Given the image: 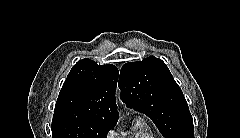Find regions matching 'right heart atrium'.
Returning a JSON list of instances; mask_svg holds the SVG:
<instances>
[{"label": "right heart atrium", "instance_id": "1", "mask_svg": "<svg viewBox=\"0 0 240 138\" xmlns=\"http://www.w3.org/2000/svg\"><path fill=\"white\" fill-rule=\"evenodd\" d=\"M112 135H113V132H112V131H110V132L108 133V137H109V138H111V137H112Z\"/></svg>", "mask_w": 240, "mask_h": 138}]
</instances>
